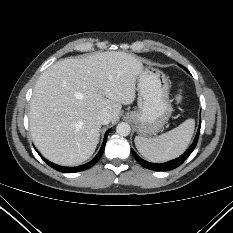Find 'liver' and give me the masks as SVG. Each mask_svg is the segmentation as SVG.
Segmentation results:
<instances>
[{
	"label": "liver",
	"instance_id": "1",
	"mask_svg": "<svg viewBox=\"0 0 233 233\" xmlns=\"http://www.w3.org/2000/svg\"><path fill=\"white\" fill-rule=\"evenodd\" d=\"M143 64L121 51L55 62L39 77L30 102L29 124L40 153L51 162L75 166L89 159L100 137L98 115L118 119L122 104L135 100Z\"/></svg>",
	"mask_w": 233,
	"mask_h": 233
}]
</instances>
